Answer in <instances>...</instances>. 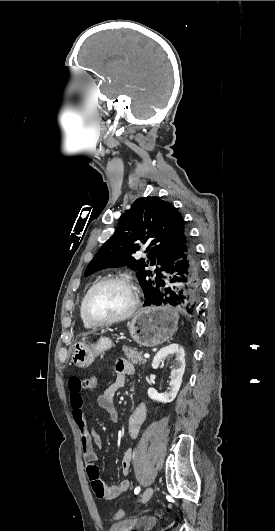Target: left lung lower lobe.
<instances>
[{
    "mask_svg": "<svg viewBox=\"0 0 275 531\" xmlns=\"http://www.w3.org/2000/svg\"><path fill=\"white\" fill-rule=\"evenodd\" d=\"M165 272L168 279L154 302L149 305L173 306L190 315L195 314L201 296L200 264L187 229L177 239Z\"/></svg>",
    "mask_w": 275,
    "mask_h": 531,
    "instance_id": "left-lung-lower-lobe-1",
    "label": "left lung lower lobe"
}]
</instances>
